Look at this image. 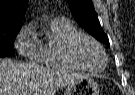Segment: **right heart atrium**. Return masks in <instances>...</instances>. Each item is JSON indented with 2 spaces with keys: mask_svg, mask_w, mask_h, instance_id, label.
I'll return each instance as SVG.
<instances>
[{
  "mask_svg": "<svg viewBox=\"0 0 135 95\" xmlns=\"http://www.w3.org/2000/svg\"><path fill=\"white\" fill-rule=\"evenodd\" d=\"M14 44L24 58L32 62H40L41 43L35 36L32 24H27L20 29Z\"/></svg>",
  "mask_w": 135,
  "mask_h": 95,
  "instance_id": "right-heart-atrium-1",
  "label": "right heart atrium"
}]
</instances>
